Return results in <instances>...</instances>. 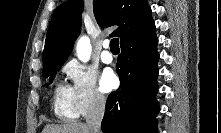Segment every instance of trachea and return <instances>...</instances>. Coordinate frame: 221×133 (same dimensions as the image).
Instances as JSON below:
<instances>
[{"label":"trachea","mask_w":221,"mask_h":133,"mask_svg":"<svg viewBox=\"0 0 221 133\" xmlns=\"http://www.w3.org/2000/svg\"><path fill=\"white\" fill-rule=\"evenodd\" d=\"M110 50L112 52H119V39L118 38H113L110 42Z\"/></svg>","instance_id":"obj_1"}]
</instances>
